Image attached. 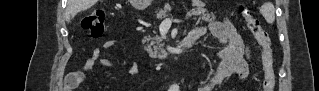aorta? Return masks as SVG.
I'll use <instances>...</instances> for the list:
<instances>
[{"label": "aorta", "mask_w": 319, "mask_h": 91, "mask_svg": "<svg viewBox=\"0 0 319 91\" xmlns=\"http://www.w3.org/2000/svg\"><path fill=\"white\" fill-rule=\"evenodd\" d=\"M174 88H175V89H177V88H178V86H177V85H175V86H174Z\"/></svg>", "instance_id": "obj_1"}]
</instances>
